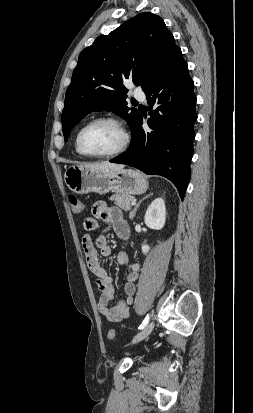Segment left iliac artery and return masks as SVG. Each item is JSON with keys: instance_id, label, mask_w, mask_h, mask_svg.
<instances>
[{"instance_id": "44dca946", "label": "left iliac artery", "mask_w": 253, "mask_h": 413, "mask_svg": "<svg viewBox=\"0 0 253 413\" xmlns=\"http://www.w3.org/2000/svg\"><path fill=\"white\" fill-rule=\"evenodd\" d=\"M149 318H150L149 315H147V316L144 318L142 324L139 326V329H143V328L146 326V324L148 323Z\"/></svg>"}]
</instances>
